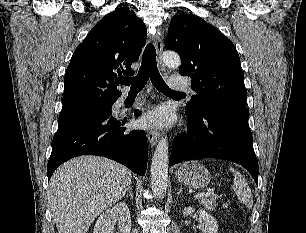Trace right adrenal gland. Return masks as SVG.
Returning <instances> with one entry per match:
<instances>
[{
    "mask_svg": "<svg viewBox=\"0 0 306 233\" xmlns=\"http://www.w3.org/2000/svg\"><path fill=\"white\" fill-rule=\"evenodd\" d=\"M126 196H130V198L133 199V192L131 186L128 188Z\"/></svg>",
    "mask_w": 306,
    "mask_h": 233,
    "instance_id": "2a0ac1e0",
    "label": "right adrenal gland"
}]
</instances>
